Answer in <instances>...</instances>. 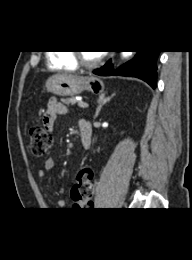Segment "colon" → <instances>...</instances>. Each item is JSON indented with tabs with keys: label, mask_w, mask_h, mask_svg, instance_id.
Here are the masks:
<instances>
[{
	"label": "colon",
	"mask_w": 192,
	"mask_h": 260,
	"mask_svg": "<svg viewBox=\"0 0 192 260\" xmlns=\"http://www.w3.org/2000/svg\"><path fill=\"white\" fill-rule=\"evenodd\" d=\"M30 147L34 156L41 157L46 154L51 146L49 131L41 124H32L29 127ZM94 171L89 167L81 169L71 190L74 202L87 206L91 204L94 194Z\"/></svg>",
	"instance_id": "obj_1"
}]
</instances>
